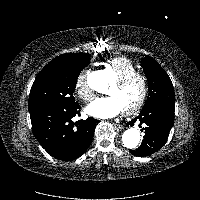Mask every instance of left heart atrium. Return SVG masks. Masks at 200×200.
Masks as SVG:
<instances>
[{"label": "left heart atrium", "instance_id": "1", "mask_svg": "<svg viewBox=\"0 0 200 200\" xmlns=\"http://www.w3.org/2000/svg\"><path fill=\"white\" fill-rule=\"evenodd\" d=\"M124 110L115 96L99 97L93 100L86 108V112L96 118H113Z\"/></svg>", "mask_w": 200, "mask_h": 200}]
</instances>
